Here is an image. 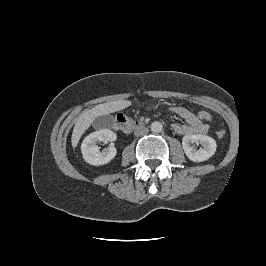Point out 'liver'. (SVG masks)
<instances>
[{"mask_svg":"<svg viewBox=\"0 0 266 266\" xmlns=\"http://www.w3.org/2000/svg\"><path fill=\"white\" fill-rule=\"evenodd\" d=\"M131 104L132 102L128 100H117L99 104L90 110H85L75 123L71 138L72 147L75 148L77 146L83 133L91 126L97 117L123 110Z\"/></svg>","mask_w":266,"mask_h":266,"instance_id":"1","label":"liver"}]
</instances>
